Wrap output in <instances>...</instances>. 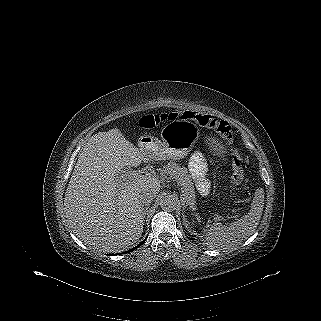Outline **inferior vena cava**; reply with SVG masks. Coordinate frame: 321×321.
<instances>
[{
  "mask_svg": "<svg viewBox=\"0 0 321 321\" xmlns=\"http://www.w3.org/2000/svg\"><path fill=\"white\" fill-rule=\"evenodd\" d=\"M155 196H156V193L152 188L145 187L142 189L139 196L140 203L144 206H148L153 201Z\"/></svg>",
  "mask_w": 321,
  "mask_h": 321,
  "instance_id": "1",
  "label": "inferior vena cava"
}]
</instances>
